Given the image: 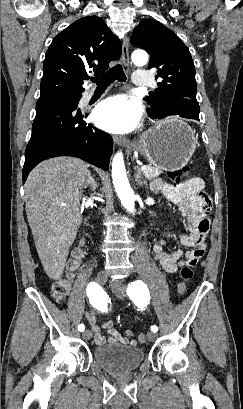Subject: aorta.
Listing matches in <instances>:
<instances>
[{
  "instance_id": "obj_1",
  "label": "aorta",
  "mask_w": 243,
  "mask_h": 409,
  "mask_svg": "<svg viewBox=\"0 0 243 409\" xmlns=\"http://www.w3.org/2000/svg\"><path fill=\"white\" fill-rule=\"evenodd\" d=\"M132 61L138 66L145 65L148 61V55L143 51H135L132 54ZM112 179L114 188L123 207L130 213L135 212V197L132 188L127 179L124 158L121 152H118L112 161Z\"/></svg>"
}]
</instances>
